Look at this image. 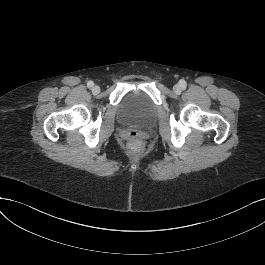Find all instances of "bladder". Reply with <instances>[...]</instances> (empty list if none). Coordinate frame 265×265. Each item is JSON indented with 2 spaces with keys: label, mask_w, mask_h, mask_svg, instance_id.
Masks as SVG:
<instances>
[{
  "label": "bladder",
  "mask_w": 265,
  "mask_h": 265,
  "mask_svg": "<svg viewBox=\"0 0 265 265\" xmlns=\"http://www.w3.org/2000/svg\"><path fill=\"white\" fill-rule=\"evenodd\" d=\"M119 112L125 120L147 122L155 113V108L141 95L129 94L121 103Z\"/></svg>",
  "instance_id": "bladder-1"
}]
</instances>
